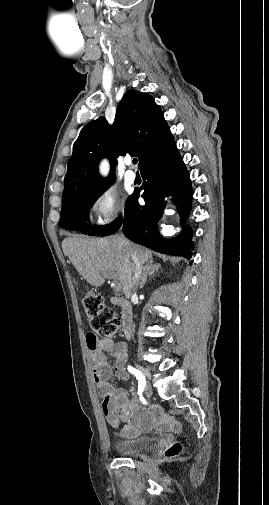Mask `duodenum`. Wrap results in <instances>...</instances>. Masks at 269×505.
Returning a JSON list of instances; mask_svg holds the SVG:
<instances>
[{
  "instance_id": "1",
  "label": "duodenum",
  "mask_w": 269,
  "mask_h": 505,
  "mask_svg": "<svg viewBox=\"0 0 269 505\" xmlns=\"http://www.w3.org/2000/svg\"><path fill=\"white\" fill-rule=\"evenodd\" d=\"M111 301L121 310L122 335L125 339H129L131 336L133 325L132 306L129 302L116 297H113Z\"/></svg>"
}]
</instances>
